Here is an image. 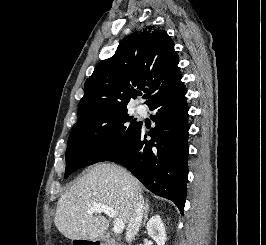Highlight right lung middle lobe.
Returning a JSON list of instances; mask_svg holds the SVG:
<instances>
[{"label": "right lung middle lobe", "instance_id": "1", "mask_svg": "<svg viewBox=\"0 0 266 245\" xmlns=\"http://www.w3.org/2000/svg\"><path fill=\"white\" fill-rule=\"evenodd\" d=\"M139 125L128 116L127 108L93 113L78 120L67 143L64 178L81 167L107 161L123 151Z\"/></svg>", "mask_w": 266, "mask_h": 245}]
</instances>
